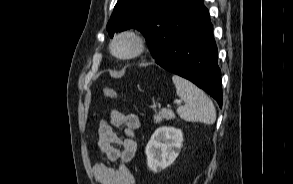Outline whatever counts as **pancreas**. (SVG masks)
Segmentation results:
<instances>
[{
  "mask_svg": "<svg viewBox=\"0 0 293 184\" xmlns=\"http://www.w3.org/2000/svg\"><path fill=\"white\" fill-rule=\"evenodd\" d=\"M175 118V114L172 110L162 109L156 115H154V122L156 124L161 123L164 119L172 120Z\"/></svg>",
  "mask_w": 293,
  "mask_h": 184,
  "instance_id": "cf45deb5",
  "label": "pancreas"
}]
</instances>
